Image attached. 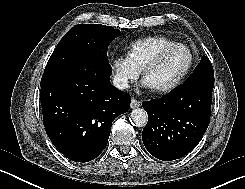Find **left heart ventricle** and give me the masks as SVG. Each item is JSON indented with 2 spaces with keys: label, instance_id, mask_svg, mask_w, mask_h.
Wrapping results in <instances>:
<instances>
[{
  "label": "left heart ventricle",
  "instance_id": "b2bd125f",
  "mask_svg": "<svg viewBox=\"0 0 245 189\" xmlns=\"http://www.w3.org/2000/svg\"><path fill=\"white\" fill-rule=\"evenodd\" d=\"M189 53L185 48H175L144 79L151 89H158L174 82L186 69Z\"/></svg>",
  "mask_w": 245,
  "mask_h": 189
}]
</instances>
